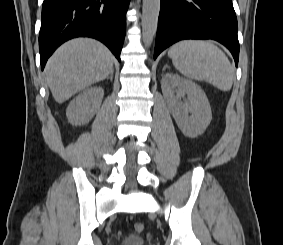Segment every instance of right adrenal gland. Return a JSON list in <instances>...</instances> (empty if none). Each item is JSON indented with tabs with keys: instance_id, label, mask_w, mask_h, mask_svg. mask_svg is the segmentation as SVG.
Returning a JSON list of instances; mask_svg holds the SVG:
<instances>
[{
	"instance_id": "obj_1",
	"label": "right adrenal gland",
	"mask_w": 283,
	"mask_h": 245,
	"mask_svg": "<svg viewBox=\"0 0 283 245\" xmlns=\"http://www.w3.org/2000/svg\"><path fill=\"white\" fill-rule=\"evenodd\" d=\"M113 73H114V71H112V72L110 73V76L108 77L111 81L113 80Z\"/></svg>"
}]
</instances>
